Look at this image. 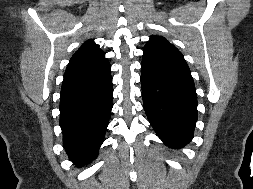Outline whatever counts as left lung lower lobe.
<instances>
[{
  "label": "left lung lower lobe",
  "mask_w": 253,
  "mask_h": 189,
  "mask_svg": "<svg viewBox=\"0 0 253 189\" xmlns=\"http://www.w3.org/2000/svg\"><path fill=\"white\" fill-rule=\"evenodd\" d=\"M141 70L143 104L150 124L167 146L183 147L192 140L197 121L193 79L144 63Z\"/></svg>",
  "instance_id": "obj_1"
}]
</instances>
